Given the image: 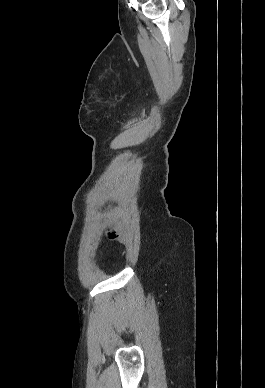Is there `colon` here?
Returning <instances> with one entry per match:
<instances>
[{
  "label": "colon",
  "mask_w": 265,
  "mask_h": 388,
  "mask_svg": "<svg viewBox=\"0 0 265 388\" xmlns=\"http://www.w3.org/2000/svg\"><path fill=\"white\" fill-rule=\"evenodd\" d=\"M108 237L111 240H122L121 234L118 230L114 229L111 225L106 226Z\"/></svg>",
  "instance_id": "5ec220e1"
}]
</instances>
